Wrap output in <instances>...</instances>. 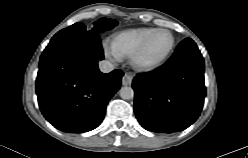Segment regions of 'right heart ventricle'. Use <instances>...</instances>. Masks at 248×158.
Instances as JSON below:
<instances>
[{"instance_id": "obj_1", "label": "right heart ventricle", "mask_w": 248, "mask_h": 158, "mask_svg": "<svg viewBox=\"0 0 248 158\" xmlns=\"http://www.w3.org/2000/svg\"><path fill=\"white\" fill-rule=\"evenodd\" d=\"M154 30L153 28H137L119 32L112 37L111 46L120 57H131Z\"/></svg>"}]
</instances>
